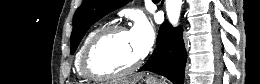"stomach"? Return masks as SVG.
<instances>
[{"mask_svg": "<svg viewBox=\"0 0 260 84\" xmlns=\"http://www.w3.org/2000/svg\"><path fill=\"white\" fill-rule=\"evenodd\" d=\"M146 84H166L165 81L159 80V79H154V78H147L145 81Z\"/></svg>", "mask_w": 260, "mask_h": 84, "instance_id": "0dacf381", "label": "stomach"}]
</instances>
